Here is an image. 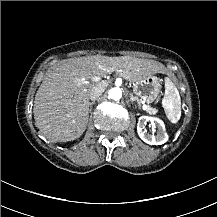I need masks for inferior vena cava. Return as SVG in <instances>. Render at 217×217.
<instances>
[{
  "mask_svg": "<svg viewBox=\"0 0 217 217\" xmlns=\"http://www.w3.org/2000/svg\"><path fill=\"white\" fill-rule=\"evenodd\" d=\"M108 86V81H101L89 90V98L95 100L98 98Z\"/></svg>",
  "mask_w": 217,
  "mask_h": 217,
  "instance_id": "inferior-vena-cava-1",
  "label": "inferior vena cava"
}]
</instances>
